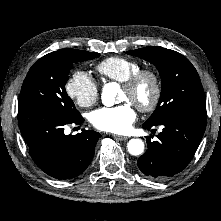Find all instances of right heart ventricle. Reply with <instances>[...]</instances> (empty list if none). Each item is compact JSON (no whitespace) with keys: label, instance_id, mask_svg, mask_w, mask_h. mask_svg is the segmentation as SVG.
<instances>
[{"label":"right heart ventricle","instance_id":"1","mask_svg":"<svg viewBox=\"0 0 221 221\" xmlns=\"http://www.w3.org/2000/svg\"><path fill=\"white\" fill-rule=\"evenodd\" d=\"M141 68L139 62L126 57H109L95 66V70L101 78L120 83L126 81Z\"/></svg>","mask_w":221,"mask_h":221}]
</instances>
